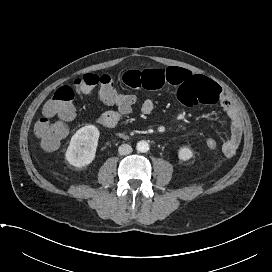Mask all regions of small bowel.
<instances>
[{"mask_svg": "<svg viewBox=\"0 0 272 272\" xmlns=\"http://www.w3.org/2000/svg\"><path fill=\"white\" fill-rule=\"evenodd\" d=\"M123 83L131 89L158 90L166 86L178 89V99L184 105L193 107L201 103L219 104L229 119L230 133L225 141H218V147L227 158L233 157L241 142L242 122L240 114L221 87L212 80L194 75L190 71L178 67L151 68L145 70H129L123 74ZM154 103L145 100L140 111L150 115L154 111ZM124 112L118 108L105 111L97 118V123L104 128H114Z\"/></svg>", "mask_w": 272, "mask_h": 272, "instance_id": "1", "label": "small bowel"}]
</instances>
